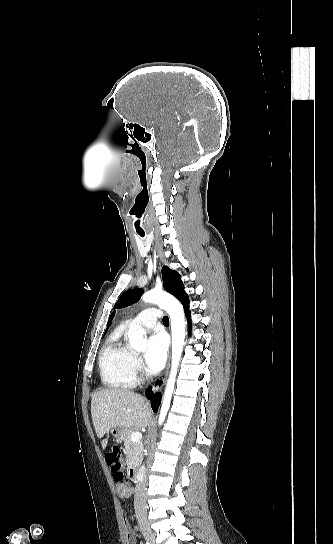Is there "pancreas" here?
Returning <instances> with one entry per match:
<instances>
[{
    "label": "pancreas",
    "mask_w": 333,
    "mask_h": 544,
    "mask_svg": "<svg viewBox=\"0 0 333 544\" xmlns=\"http://www.w3.org/2000/svg\"><path fill=\"white\" fill-rule=\"evenodd\" d=\"M133 431H127L124 437V446L126 454V463L128 466L138 464L142 457L143 446L140 442H133L131 440V434Z\"/></svg>",
    "instance_id": "pancreas-1"
}]
</instances>
